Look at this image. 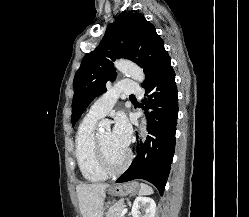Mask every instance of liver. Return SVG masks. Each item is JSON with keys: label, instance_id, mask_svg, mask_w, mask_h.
Instances as JSON below:
<instances>
[{"label": "liver", "instance_id": "6515ba94", "mask_svg": "<svg viewBox=\"0 0 249 217\" xmlns=\"http://www.w3.org/2000/svg\"><path fill=\"white\" fill-rule=\"evenodd\" d=\"M108 184H80L76 187L82 217H103L105 190Z\"/></svg>", "mask_w": 249, "mask_h": 217}]
</instances>
